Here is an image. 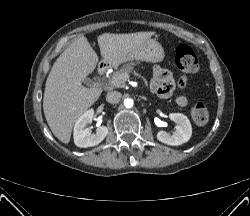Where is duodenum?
<instances>
[{"mask_svg":"<svg viewBox=\"0 0 250 216\" xmlns=\"http://www.w3.org/2000/svg\"><path fill=\"white\" fill-rule=\"evenodd\" d=\"M106 70H107V65L103 63L99 66L98 72L100 75H104Z\"/></svg>","mask_w":250,"mask_h":216,"instance_id":"obj_1","label":"duodenum"}]
</instances>
